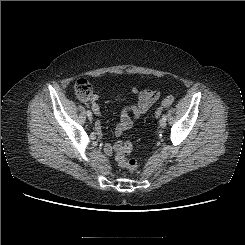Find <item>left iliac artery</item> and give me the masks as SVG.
Masks as SVG:
<instances>
[{
  "instance_id": "obj_1",
  "label": "left iliac artery",
  "mask_w": 245,
  "mask_h": 245,
  "mask_svg": "<svg viewBox=\"0 0 245 245\" xmlns=\"http://www.w3.org/2000/svg\"><path fill=\"white\" fill-rule=\"evenodd\" d=\"M162 119L166 120L167 119V116L166 115H163L162 116Z\"/></svg>"
}]
</instances>
